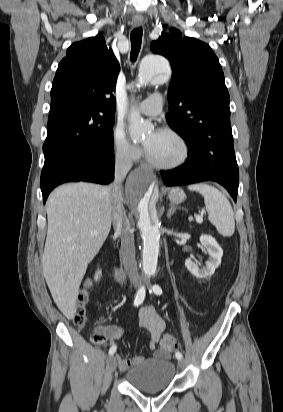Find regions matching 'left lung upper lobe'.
<instances>
[{
    "mask_svg": "<svg viewBox=\"0 0 283 412\" xmlns=\"http://www.w3.org/2000/svg\"><path fill=\"white\" fill-rule=\"evenodd\" d=\"M153 53L171 62L169 114L166 119L188 145L199 142L207 154L224 158L226 175L239 180L230 125L229 93L221 65L210 46L194 38H182L171 29L150 45Z\"/></svg>",
    "mask_w": 283,
    "mask_h": 412,
    "instance_id": "left-lung-upper-lobe-1",
    "label": "left lung upper lobe"
}]
</instances>
